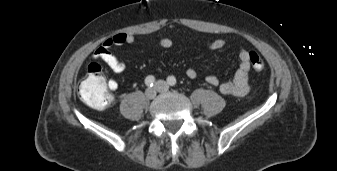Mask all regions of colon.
<instances>
[{"mask_svg": "<svg viewBox=\"0 0 337 171\" xmlns=\"http://www.w3.org/2000/svg\"><path fill=\"white\" fill-rule=\"evenodd\" d=\"M249 61L255 71L264 69V62L257 53L250 52ZM78 94L86 105L97 110L105 109L112 103V94L104 73L96 62L88 65L86 77L79 85Z\"/></svg>", "mask_w": 337, "mask_h": 171, "instance_id": "1", "label": "colon"}]
</instances>
